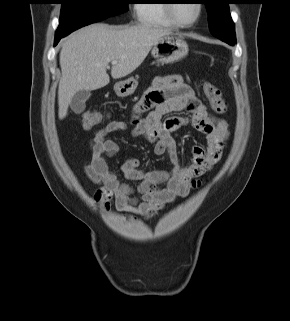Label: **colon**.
I'll use <instances>...</instances> for the list:
<instances>
[{"instance_id": "5ec220e1", "label": "colon", "mask_w": 290, "mask_h": 321, "mask_svg": "<svg viewBox=\"0 0 290 321\" xmlns=\"http://www.w3.org/2000/svg\"><path fill=\"white\" fill-rule=\"evenodd\" d=\"M203 91L210 102L211 107L217 113L226 111V104L221 97L219 89L211 82L203 83ZM103 120V116L98 111H88L83 114L82 126L84 129H91Z\"/></svg>"}]
</instances>
